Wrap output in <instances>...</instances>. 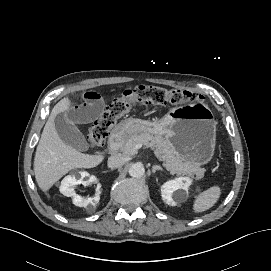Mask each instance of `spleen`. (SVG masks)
<instances>
[{
  "instance_id": "spleen-1",
  "label": "spleen",
  "mask_w": 271,
  "mask_h": 271,
  "mask_svg": "<svg viewBox=\"0 0 271 271\" xmlns=\"http://www.w3.org/2000/svg\"><path fill=\"white\" fill-rule=\"evenodd\" d=\"M221 195L219 186H212L196 196L193 203V212L202 213L215 205Z\"/></svg>"
}]
</instances>
